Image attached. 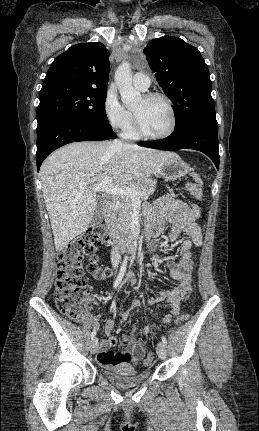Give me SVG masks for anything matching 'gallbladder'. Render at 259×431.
Returning <instances> with one entry per match:
<instances>
[{
    "instance_id": "bac80fb5",
    "label": "gallbladder",
    "mask_w": 259,
    "mask_h": 431,
    "mask_svg": "<svg viewBox=\"0 0 259 431\" xmlns=\"http://www.w3.org/2000/svg\"><path fill=\"white\" fill-rule=\"evenodd\" d=\"M103 216H104V203L102 200H98L96 202V206H95V210H94V213L92 216L91 223L93 225L99 224L103 220Z\"/></svg>"
}]
</instances>
